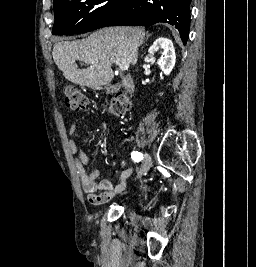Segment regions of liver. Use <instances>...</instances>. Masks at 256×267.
Returning a JSON list of instances; mask_svg holds the SVG:
<instances>
[{"mask_svg": "<svg viewBox=\"0 0 256 267\" xmlns=\"http://www.w3.org/2000/svg\"><path fill=\"white\" fill-rule=\"evenodd\" d=\"M143 28H102L93 32L86 40L58 42L53 46V60L64 78L78 86H105L112 82L114 72L111 68L117 60L126 64H137L139 46L143 44ZM76 60L90 64L87 70H78Z\"/></svg>", "mask_w": 256, "mask_h": 267, "instance_id": "6515ba94", "label": "liver"}]
</instances>
